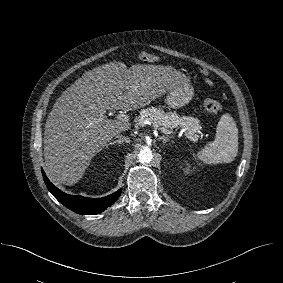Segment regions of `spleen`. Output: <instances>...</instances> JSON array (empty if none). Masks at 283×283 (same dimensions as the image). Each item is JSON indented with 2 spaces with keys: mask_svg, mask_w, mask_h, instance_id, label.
I'll use <instances>...</instances> for the list:
<instances>
[{
  "mask_svg": "<svg viewBox=\"0 0 283 283\" xmlns=\"http://www.w3.org/2000/svg\"><path fill=\"white\" fill-rule=\"evenodd\" d=\"M238 153V128L229 113L220 117L216 138L195 154V159L204 164L232 162Z\"/></svg>",
  "mask_w": 283,
  "mask_h": 283,
  "instance_id": "1",
  "label": "spleen"
}]
</instances>
